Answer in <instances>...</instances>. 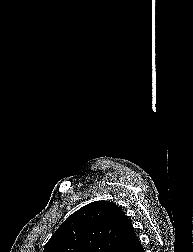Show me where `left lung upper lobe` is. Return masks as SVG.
<instances>
[{
  "instance_id": "obj_1",
  "label": "left lung upper lobe",
  "mask_w": 193,
  "mask_h": 252,
  "mask_svg": "<svg viewBox=\"0 0 193 252\" xmlns=\"http://www.w3.org/2000/svg\"><path fill=\"white\" fill-rule=\"evenodd\" d=\"M134 234L121 208L109 201H95L69 216L43 252H123Z\"/></svg>"
}]
</instances>
